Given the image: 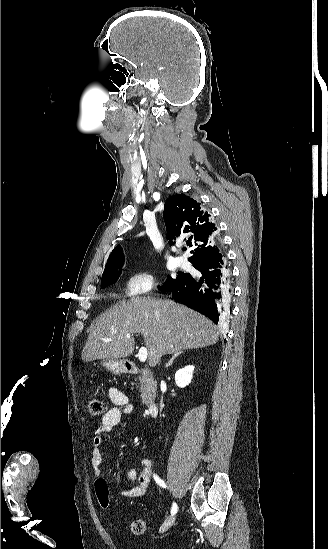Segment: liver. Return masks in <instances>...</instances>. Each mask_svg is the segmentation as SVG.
<instances>
[{
  "mask_svg": "<svg viewBox=\"0 0 328 549\" xmlns=\"http://www.w3.org/2000/svg\"><path fill=\"white\" fill-rule=\"evenodd\" d=\"M89 331L81 355L85 363L130 357L135 347L133 333L143 335L150 367H156L162 355L201 349L219 341L210 319L185 305L153 297L119 301L97 317ZM126 335H131V339Z\"/></svg>",
  "mask_w": 328,
  "mask_h": 549,
  "instance_id": "6515ba94",
  "label": "liver"
}]
</instances>
